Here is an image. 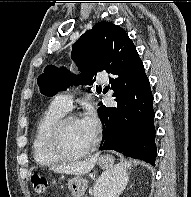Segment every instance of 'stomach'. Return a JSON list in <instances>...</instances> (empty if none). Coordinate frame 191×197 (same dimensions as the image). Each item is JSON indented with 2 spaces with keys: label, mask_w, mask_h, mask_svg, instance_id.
Wrapping results in <instances>:
<instances>
[{
  "label": "stomach",
  "mask_w": 191,
  "mask_h": 197,
  "mask_svg": "<svg viewBox=\"0 0 191 197\" xmlns=\"http://www.w3.org/2000/svg\"><path fill=\"white\" fill-rule=\"evenodd\" d=\"M98 165L108 171L107 174L110 175L109 181L106 185L105 196L111 197L116 193L118 188L123 189L126 182L120 177L113 175V172L116 171L117 167L114 166V157L111 155H104L98 159ZM119 167V166H118ZM123 168L122 166H120ZM68 188L73 197H82L87 189V181L77 175L73 178L68 179Z\"/></svg>",
  "instance_id": "1"
}]
</instances>
